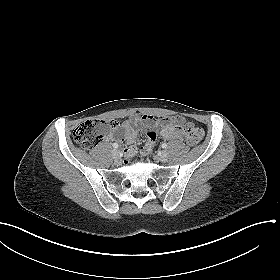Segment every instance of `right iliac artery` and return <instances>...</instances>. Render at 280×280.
Instances as JSON below:
<instances>
[{"label": "right iliac artery", "mask_w": 280, "mask_h": 280, "mask_svg": "<svg viewBox=\"0 0 280 280\" xmlns=\"http://www.w3.org/2000/svg\"><path fill=\"white\" fill-rule=\"evenodd\" d=\"M112 146H113V148H118L119 147V145L117 143H113Z\"/></svg>", "instance_id": "1"}]
</instances>
